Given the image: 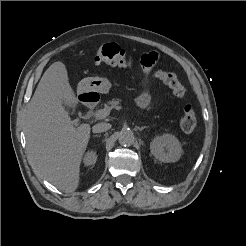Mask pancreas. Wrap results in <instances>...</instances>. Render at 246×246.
I'll return each instance as SVG.
<instances>
[{
  "mask_svg": "<svg viewBox=\"0 0 246 246\" xmlns=\"http://www.w3.org/2000/svg\"><path fill=\"white\" fill-rule=\"evenodd\" d=\"M120 102H121L120 99H112L107 104H105L104 107L109 109H114L119 106Z\"/></svg>",
  "mask_w": 246,
  "mask_h": 246,
  "instance_id": "pancreas-1",
  "label": "pancreas"
}]
</instances>
